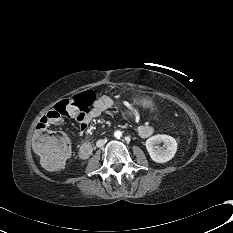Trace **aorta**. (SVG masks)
I'll return each mask as SVG.
<instances>
[{
	"instance_id": "aorta-1",
	"label": "aorta",
	"mask_w": 233,
	"mask_h": 233,
	"mask_svg": "<svg viewBox=\"0 0 233 233\" xmlns=\"http://www.w3.org/2000/svg\"><path fill=\"white\" fill-rule=\"evenodd\" d=\"M114 136L119 139L122 136L121 131H115Z\"/></svg>"
}]
</instances>
